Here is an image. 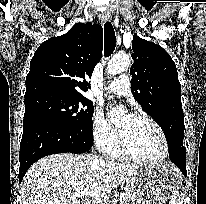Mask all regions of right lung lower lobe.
Here are the masks:
<instances>
[{
    "mask_svg": "<svg viewBox=\"0 0 206 204\" xmlns=\"http://www.w3.org/2000/svg\"><path fill=\"white\" fill-rule=\"evenodd\" d=\"M92 143L93 137L46 119L32 118L23 122L19 183L28 168L40 158L56 153H84L92 147Z\"/></svg>",
    "mask_w": 206,
    "mask_h": 204,
    "instance_id": "1",
    "label": "right lung lower lobe"
}]
</instances>
